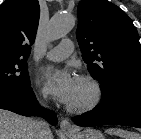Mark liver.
I'll return each instance as SVG.
<instances>
[{
	"mask_svg": "<svg viewBox=\"0 0 141 139\" xmlns=\"http://www.w3.org/2000/svg\"><path fill=\"white\" fill-rule=\"evenodd\" d=\"M37 120L0 109V139H33ZM51 138L53 139L52 133Z\"/></svg>",
	"mask_w": 141,
	"mask_h": 139,
	"instance_id": "6515ba94",
	"label": "liver"
}]
</instances>
